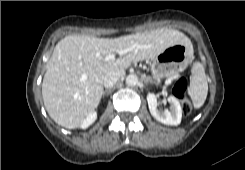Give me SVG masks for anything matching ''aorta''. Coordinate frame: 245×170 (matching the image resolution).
Segmentation results:
<instances>
[{
    "label": "aorta",
    "mask_w": 245,
    "mask_h": 170,
    "mask_svg": "<svg viewBox=\"0 0 245 170\" xmlns=\"http://www.w3.org/2000/svg\"><path fill=\"white\" fill-rule=\"evenodd\" d=\"M138 82H139V79L135 74H130L126 77V84L128 86H136Z\"/></svg>",
    "instance_id": "aorta-1"
}]
</instances>
